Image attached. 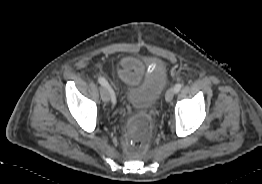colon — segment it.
<instances>
[{"instance_id": "5ec220e1", "label": "colon", "mask_w": 262, "mask_h": 184, "mask_svg": "<svg viewBox=\"0 0 262 184\" xmlns=\"http://www.w3.org/2000/svg\"><path fill=\"white\" fill-rule=\"evenodd\" d=\"M150 131L151 122L148 116L135 117L130 124L128 152L134 155L142 154L147 148Z\"/></svg>"}]
</instances>
